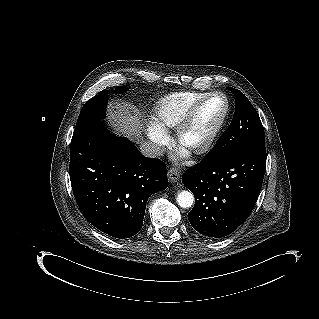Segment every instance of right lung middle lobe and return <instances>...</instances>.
<instances>
[{"mask_svg": "<svg viewBox=\"0 0 319 319\" xmlns=\"http://www.w3.org/2000/svg\"><path fill=\"white\" fill-rule=\"evenodd\" d=\"M127 90L125 86H118L114 92L122 93ZM110 90H103L89 99L83 106L76 123V129L100 120L105 115L106 103Z\"/></svg>", "mask_w": 319, "mask_h": 319, "instance_id": "dd1d6c3e", "label": "right lung middle lobe"}]
</instances>
